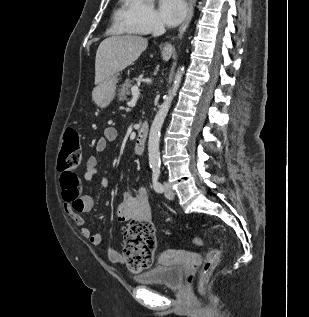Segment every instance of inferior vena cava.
I'll list each match as a JSON object with an SVG mask.
<instances>
[{"label": "inferior vena cava", "mask_w": 309, "mask_h": 317, "mask_svg": "<svg viewBox=\"0 0 309 317\" xmlns=\"http://www.w3.org/2000/svg\"><path fill=\"white\" fill-rule=\"evenodd\" d=\"M164 32H165V28L163 24L161 22H157L153 30V35L159 36V35H162Z\"/></svg>", "instance_id": "1"}]
</instances>
